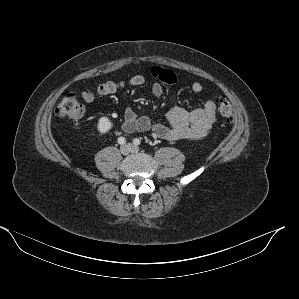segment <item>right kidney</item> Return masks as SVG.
<instances>
[{
    "label": "right kidney",
    "instance_id": "1",
    "mask_svg": "<svg viewBox=\"0 0 299 299\" xmlns=\"http://www.w3.org/2000/svg\"><path fill=\"white\" fill-rule=\"evenodd\" d=\"M113 127L112 122L108 117H101L97 123V130L101 134L107 133Z\"/></svg>",
    "mask_w": 299,
    "mask_h": 299
}]
</instances>
